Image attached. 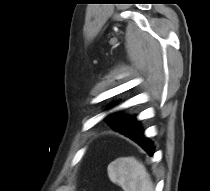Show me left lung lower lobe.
Here are the masks:
<instances>
[{
  "label": "left lung lower lobe",
  "instance_id": "obj_1",
  "mask_svg": "<svg viewBox=\"0 0 210 191\" xmlns=\"http://www.w3.org/2000/svg\"><path fill=\"white\" fill-rule=\"evenodd\" d=\"M125 136L137 142L149 154V156H153V144L144 137L143 131L141 130L140 126L138 129L126 134Z\"/></svg>",
  "mask_w": 210,
  "mask_h": 191
}]
</instances>
